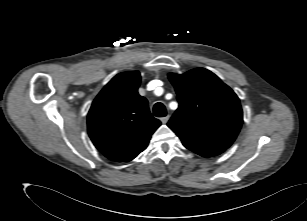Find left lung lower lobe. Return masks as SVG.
<instances>
[{
	"instance_id": "0a47b994",
	"label": "left lung lower lobe",
	"mask_w": 307,
	"mask_h": 221,
	"mask_svg": "<svg viewBox=\"0 0 307 221\" xmlns=\"http://www.w3.org/2000/svg\"><path fill=\"white\" fill-rule=\"evenodd\" d=\"M193 152L203 156V157H212V156H216L219 155V153H215V152H211V151H206V150H202V149H191Z\"/></svg>"
}]
</instances>
